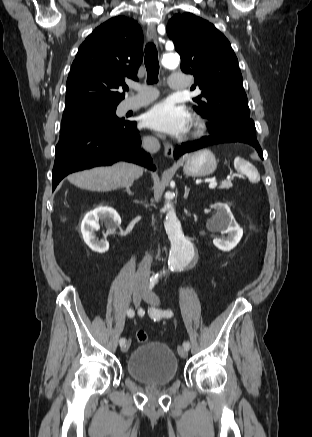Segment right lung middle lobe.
<instances>
[{
    "label": "right lung middle lobe",
    "instance_id": "obj_1",
    "mask_svg": "<svg viewBox=\"0 0 312 437\" xmlns=\"http://www.w3.org/2000/svg\"><path fill=\"white\" fill-rule=\"evenodd\" d=\"M117 105H82L66 108L62 117L59 140H66L83 132L122 123L116 114Z\"/></svg>",
    "mask_w": 312,
    "mask_h": 437
}]
</instances>
